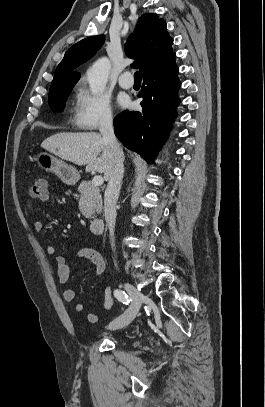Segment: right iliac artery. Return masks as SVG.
Masks as SVG:
<instances>
[{
	"instance_id": "obj_1",
	"label": "right iliac artery",
	"mask_w": 265,
	"mask_h": 407,
	"mask_svg": "<svg viewBox=\"0 0 265 407\" xmlns=\"http://www.w3.org/2000/svg\"><path fill=\"white\" fill-rule=\"evenodd\" d=\"M114 296L116 297V299L117 300H119L120 302H122L123 304H129V302H130V300H129V298H128V295L124 292V291H122V290H120V289H116L115 291H114Z\"/></svg>"
}]
</instances>
